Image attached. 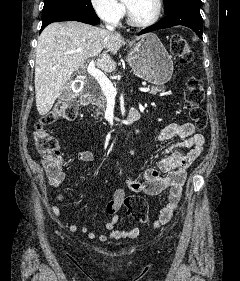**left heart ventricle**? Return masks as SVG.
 Instances as JSON below:
<instances>
[{
	"label": "left heart ventricle",
	"instance_id": "1",
	"mask_svg": "<svg viewBox=\"0 0 240 281\" xmlns=\"http://www.w3.org/2000/svg\"><path fill=\"white\" fill-rule=\"evenodd\" d=\"M136 21L149 20L156 8L155 0H124Z\"/></svg>",
	"mask_w": 240,
	"mask_h": 281
}]
</instances>
